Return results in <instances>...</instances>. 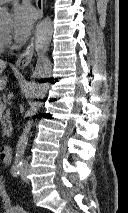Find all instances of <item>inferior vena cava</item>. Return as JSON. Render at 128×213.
I'll list each match as a JSON object with an SVG mask.
<instances>
[{
	"label": "inferior vena cava",
	"instance_id": "602c4592",
	"mask_svg": "<svg viewBox=\"0 0 128 213\" xmlns=\"http://www.w3.org/2000/svg\"><path fill=\"white\" fill-rule=\"evenodd\" d=\"M22 166H24V167L28 166V162L26 160H23L22 161Z\"/></svg>",
	"mask_w": 128,
	"mask_h": 213
}]
</instances>
